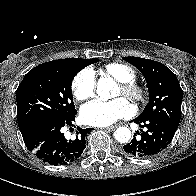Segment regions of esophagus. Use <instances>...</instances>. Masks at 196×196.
<instances>
[{
  "instance_id": "34e87169",
  "label": "esophagus",
  "mask_w": 196,
  "mask_h": 196,
  "mask_svg": "<svg viewBox=\"0 0 196 196\" xmlns=\"http://www.w3.org/2000/svg\"><path fill=\"white\" fill-rule=\"evenodd\" d=\"M116 128V126H110V127H106V130H114Z\"/></svg>"
}]
</instances>
